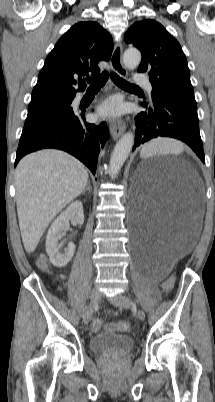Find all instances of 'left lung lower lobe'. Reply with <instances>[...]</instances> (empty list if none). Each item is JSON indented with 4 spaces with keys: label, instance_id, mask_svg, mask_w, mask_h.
Masks as SVG:
<instances>
[{
    "label": "left lung lower lobe",
    "instance_id": "0a47b994",
    "mask_svg": "<svg viewBox=\"0 0 215 402\" xmlns=\"http://www.w3.org/2000/svg\"><path fill=\"white\" fill-rule=\"evenodd\" d=\"M141 105L146 111L136 116V136L133 151L156 137H172L185 142L205 162L202 140L199 132L197 110L177 102L152 96Z\"/></svg>",
    "mask_w": 215,
    "mask_h": 402
}]
</instances>
